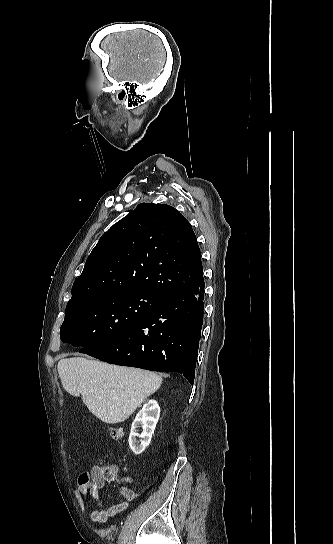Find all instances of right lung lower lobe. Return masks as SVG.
I'll use <instances>...</instances> for the list:
<instances>
[{"mask_svg": "<svg viewBox=\"0 0 333 544\" xmlns=\"http://www.w3.org/2000/svg\"><path fill=\"white\" fill-rule=\"evenodd\" d=\"M204 287L202 279L165 296L135 327L84 353L116 365L179 372L193 385L203 325Z\"/></svg>", "mask_w": 333, "mask_h": 544, "instance_id": "1", "label": "right lung lower lobe"}]
</instances>
